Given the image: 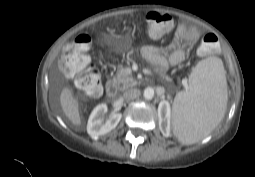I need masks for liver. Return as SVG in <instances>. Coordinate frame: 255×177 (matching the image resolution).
I'll return each instance as SVG.
<instances>
[{
    "label": "liver",
    "mask_w": 255,
    "mask_h": 177,
    "mask_svg": "<svg viewBox=\"0 0 255 177\" xmlns=\"http://www.w3.org/2000/svg\"><path fill=\"white\" fill-rule=\"evenodd\" d=\"M60 104L66 117L72 124L81 125V118L78 110V102L68 88H63L60 95Z\"/></svg>",
    "instance_id": "1"
}]
</instances>
